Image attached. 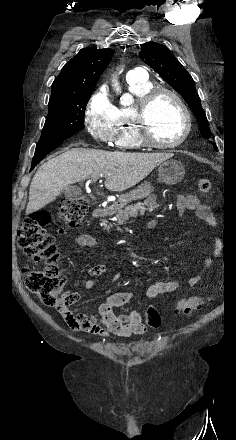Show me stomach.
I'll list each match as a JSON object with an SVG mask.
<instances>
[{
    "instance_id": "1",
    "label": "stomach",
    "mask_w": 236,
    "mask_h": 440,
    "mask_svg": "<svg viewBox=\"0 0 236 440\" xmlns=\"http://www.w3.org/2000/svg\"><path fill=\"white\" fill-rule=\"evenodd\" d=\"M158 181L166 183L167 185H176L181 182L185 175V169L181 162L175 159L165 160L158 168ZM152 186L148 182H144L134 190L118 198L115 205L117 210L125 207L129 202L143 199L149 196L152 192Z\"/></svg>"
}]
</instances>
